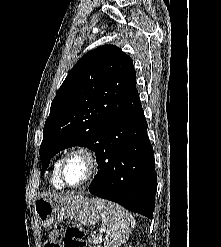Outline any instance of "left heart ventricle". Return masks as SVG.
Returning <instances> with one entry per match:
<instances>
[{"label": "left heart ventricle", "mask_w": 221, "mask_h": 247, "mask_svg": "<svg viewBox=\"0 0 221 247\" xmlns=\"http://www.w3.org/2000/svg\"><path fill=\"white\" fill-rule=\"evenodd\" d=\"M87 174V163L81 156L71 157L65 167V178L70 184L81 182Z\"/></svg>", "instance_id": "obj_1"}]
</instances>
